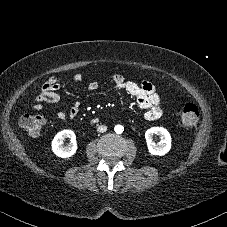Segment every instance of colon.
<instances>
[{
    "mask_svg": "<svg viewBox=\"0 0 227 227\" xmlns=\"http://www.w3.org/2000/svg\"><path fill=\"white\" fill-rule=\"evenodd\" d=\"M199 119V111L195 104L184 105L180 114V125L185 129L194 127ZM23 130L31 136L37 135L46 125V119L37 115H24L19 121Z\"/></svg>",
    "mask_w": 227,
    "mask_h": 227,
    "instance_id": "colon-1",
    "label": "colon"
}]
</instances>
